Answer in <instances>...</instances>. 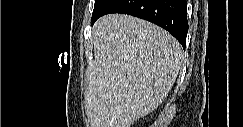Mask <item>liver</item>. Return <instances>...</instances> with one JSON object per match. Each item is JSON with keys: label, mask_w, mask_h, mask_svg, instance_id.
<instances>
[{"label": "liver", "mask_w": 243, "mask_h": 127, "mask_svg": "<svg viewBox=\"0 0 243 127\" xmlns=\"http://www.w3.org/2000/svg\"><path fill=\"white\" fill-rule=\"evenodd\" d=\"M85 106L91 127H130L168 96L183 60L180 43L139 18L112 14L93 27Z\"/></svg>", "instance_id": "1"}]
</instances>
